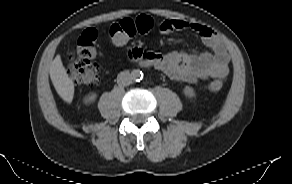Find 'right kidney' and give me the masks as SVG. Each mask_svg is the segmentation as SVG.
<instances>
[{
    "label": "right kidney",
    "instance_id": "ca27d5eb",
    "mask_svg": "<svg viewBox=\"0 0 292 184\" xmlns=\"http://www.w3.org/2000/svg\"><path fill=\"white\" fill-rule=\"evenodd\" d=\"M96 97H97L96 93H91L87 95L83 101L85 104H90L95 101Z\"/></svg>",
    "mask_w": 292,
    "mask_h": 184
}]
</instances>
